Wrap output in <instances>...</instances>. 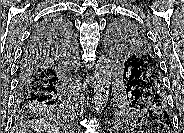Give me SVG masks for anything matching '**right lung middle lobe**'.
I'll return each mask as SVG.
<instances>
[{
  "mask_svg": "<svg viewBox=\"0 0 184 133\" xmlns=\"http://www.w3.org/2000/svg\"><path fill=\"white\" fill-rule=\"evenodd\" d=\"M62 18L64 19L65 24L70 28L71 34L74 36L70 21L64 17ZM68 86L69 83L67 85L65 93L55 95L42 104L37 105L16 104L15 105L16 115L20 117H26L30 115H42V114L44 115L64 111L65 109H67L70 102V92H69L70 89Z\"/></svg>",
  "mask_w": 184,
  "mask_h": 133,
  "instance_id": "obj_1",
  "label": "right lung middle lobe"
}]
</instances>
